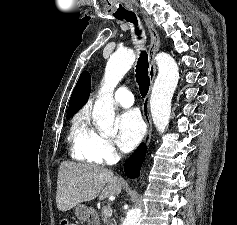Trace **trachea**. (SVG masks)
<instances>
[{"instance_id":"3493384b","label":"trachea","mask_w":237,"mask_h":225,"mask_svg":"<svg viewBox=\"0 0 237 225\" xmlns=\"http://www.w3.org/2000/svg\"><path fill=\"white\" fill-rule=\"evenodd\" d=\"M119 20L125 19L128 22H131L135 26V34L140 39L141 30L138 28V20L134 13L123 15L122 17L118 18ZM148 54L146 51L142 50L140 53V56L138 58L137 64H136V80L139 85V90L141 93V96L144 98L149 90L150 86V78L148 76Z\"/></svg>"}]
</instances>
